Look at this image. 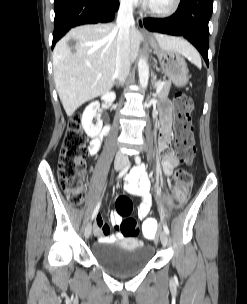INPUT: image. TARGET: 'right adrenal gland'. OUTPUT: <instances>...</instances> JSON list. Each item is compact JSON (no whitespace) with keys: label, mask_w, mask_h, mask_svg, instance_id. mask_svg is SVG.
Wrapping results in <instances>:
<instances>
[{"label":"right adrenal gland","mask_w":247,"mask_h":304,"mask_svg":"<svg viewBox=\"0 0 247 304\" xmlns=\"http://www.w3.org/2000/svg\"><path fill=\"white\" fill-rule=\"evenodd\" d=\"M120 83L118 81H115L113 85L118 86Z\"/></svg>","instance_id":"right-adrenal-gland-1"}]
</instances>
